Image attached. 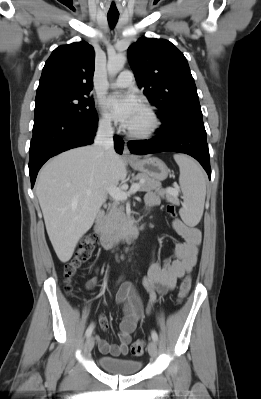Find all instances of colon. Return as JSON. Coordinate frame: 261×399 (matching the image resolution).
<instances>
[{"label":"colon","mask_w":261,"mask_h":399,"mask_svg":"<svg viewBox=\"0 0 261 399\" xmlns=\"http://www.w3.org/2000/svg\"><path fill=\"white\" fill-rule=\"evenodd\" d=\"M166 211L171 217L176 216V209L174 205L168 204L166 206ZM96 245V238L94 235L87 236L80 248L76 252L75 256L65 265L64 275L67 281L66 290L68 292L72 291L71 279L76 275L78 270L86 264L93 256ZM191 277L186 276L180 284L178 292V300L182 301L188 294L191 288ZM145 350V342L143 340H136L131 345V353L135 356H140Z\"/></svg>","instance_id":"1"}]
</instances>
